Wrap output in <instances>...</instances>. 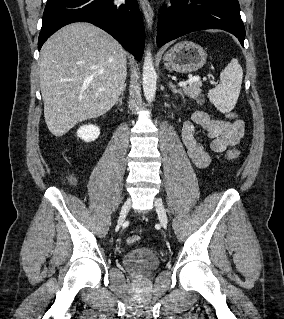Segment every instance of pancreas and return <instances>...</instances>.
Here are the masks:
<instances>
[{"label":"pancreas","mask_w":284,"mask_h":319,"mask_svg":"<svg viewBox=\"0 0 284 319\" xmlns=\"http://www.w3.org/2000/svg\"><path fill=\"white\" fill-rule=\"evenodd\" d=\"M201 87L202 82H194L188 84L182 88L185 94L189 95L191 98L196 99L199 104H203L205 102L204 96L201 95Z\"/></svg>","instance_id":"obj_1"}]
</instances>
